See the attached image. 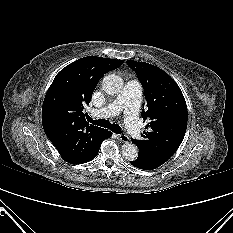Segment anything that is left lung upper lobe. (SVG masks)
I'll return each mask as SVG.
<instances>
[{"mask_svg": "<svg viewBox=\"0 0 233 233\" xmlns=\"http://www.w3.org/2000/svg\"><path fill=\"white\" fill-rule=\"evenodd\" d=\"M127 64L143 86L147 107L143 108L142 116L150 120L143 139H132V142L140 154L163 164L178 149L186 132L188 112L184 96L177 83L162 69L133 60H128Z\"/></svg>", "mask_w": 233, "mask_h": 233, "instance_id": "left-lung-upper-lobe-1", "label": "left lung upper lobe"}]
</instances>
